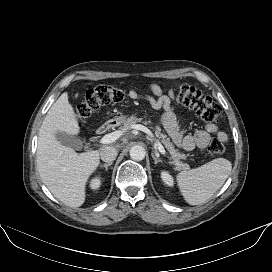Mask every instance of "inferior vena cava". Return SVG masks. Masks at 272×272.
I'll use <instances>...</instances> for the list:
<instances>
[{
  "mask_svg": "<svg viewBox=\"0 0 272 272\" xmlns=\"http://www.w3.org/2000/svg\"><path fill=\"white\" fill-rule=\"evenodd\" d=\"M117 149L112 146H105L100 151V157L104 162H113L117 157Z\"/></svg>",
  "mask_w": 272,
  "mask_h": 272,
  "instance_id": "obj_1",
  "label": "inferior vena cava"
}]
</instances>
